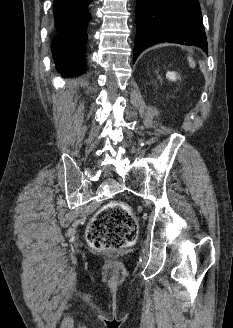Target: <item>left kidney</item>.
Returning <instances> with one entry per match:
<instances>
[{"instance_id": "1", "label": "left kidney", "mask_w": 233, "mask_h": 328, "mask_svg": "<svg viewBox=\"0 0 233 328\" xmlns=\"http://www.w3.org/2000/svg\"><path fill=\"white\" fill-rule=\"evenodd\" d=\"M166 77L171 81H176L178 79L177 73L174 71H168Z\"/></svg>"}]
</instances>
